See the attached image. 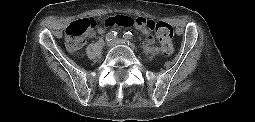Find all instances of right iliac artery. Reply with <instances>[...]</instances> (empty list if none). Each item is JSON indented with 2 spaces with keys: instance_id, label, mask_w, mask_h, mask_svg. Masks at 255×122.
<instances>
[{
  "instance_id": "82829eb1",
  "label": "right iliac artery",
  "mask_w": 255,
  "mask_h": 122,
  "mask_svg": "<svg viewBox=\"0 0 255 122\" xmlns=\"http://www.w3.org/2000/svg\"><path fill=\"white\" fill-rule=\"evenodd\" d=\"M117 31H111L106 35V41H111L117 36Z\"/></svg>"
}]
</instances>
